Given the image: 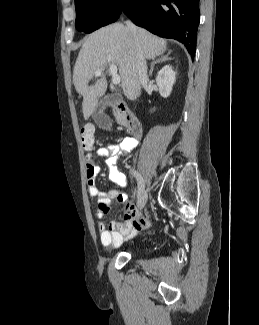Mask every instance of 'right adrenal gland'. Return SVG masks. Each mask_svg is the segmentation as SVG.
Segmentation results:
<instances>
[{
  "mask_svg": "<svg viewBox=\"0 0 259 325\" xmlns=\"http://www.w3.org/2000/svg\"><path fill=\"white\" fill-rule=\"evenodd\" d=\"M169 54H170V52H169L167 55L162 56L161 58H159V59H157V60L151 62V67H150V71H149V76H150V77L152 76V73H153V70H154V66H155V64L160 63V62H163V61H168V60L171 59V58L169 57Z\"/></svg>",
  "mask_w": 259,
  "mask_h": 325,
  "instance_id": "right-adrenal-gland-1",
  "label": "right adrenal gland"
}]
</instances>
